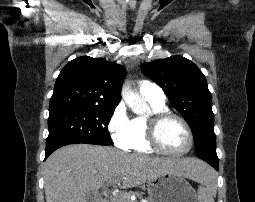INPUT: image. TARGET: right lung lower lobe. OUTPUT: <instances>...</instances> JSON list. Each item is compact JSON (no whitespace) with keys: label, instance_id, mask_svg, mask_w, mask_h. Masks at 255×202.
Instances as JSON below:
<instances>
[{"label":"right lung lower lobe","instance_id":"1","mask_svg":"<svg viewBox=\"0 0 255 202\" xmlns=\"http://www.w3.org/2000/svg\"><path fill=\"white\" fill-rule=\"evenodd\" d=\"M57 148H59V147L55 146V147H52L50 149H46V156H45V158H47Z\"/></svg>","mask_w":255,"mask_h":202}]
</instances>
